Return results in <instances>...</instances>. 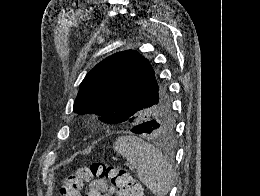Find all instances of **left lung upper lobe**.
I'll return each instance as SVG.
<instances>
[{
	"mask_svg": "<svg viewBox=\"0 0 260 196\" xmlns=\"http://www.w3.org/2000/svg\"><path fill=\"white\" fill-rule=\"evenodd\" d=\"M119 106L135 109L126 121L129 127L153 121L152 139L164 144L176 141L168 89L149 60L134 50L115 53L97 64L82 81L73 111L101 115Z\"/></svg>",
	"mask_w": 260,
	"mask_h": 196,
	"instance_id": "5c2ea615",
	"label": "left lung upper lobe"
}]
</instances>
